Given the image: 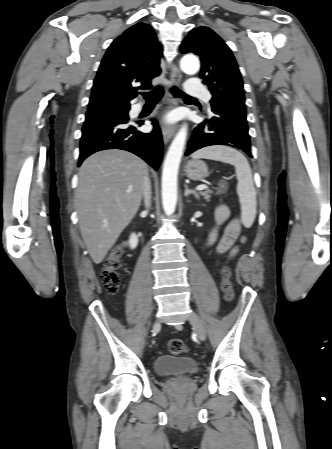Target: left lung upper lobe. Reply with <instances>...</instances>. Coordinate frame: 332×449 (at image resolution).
Wrapping results in <instances>:
<instances>
[{
	"label": "left lung upper lobe",
	"mask_w": 332,
	"mask_h": 449,
	"mask_svg": "<svg viewBox=\"0 0 332 449\" xmlns=\"http://www.w3.org/2000/svg\"><path fill=\"white\" fill-rule=\"evenodd\" d=\"M182 53L200 56V78L209 87L212 109L246 114L243 81L226 43L210 28L193 29L181 44Z\"/></svg>",
	"instance_id": "5c2ea615"
}]
</instances>
